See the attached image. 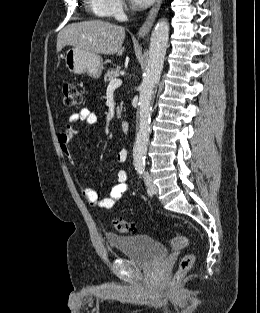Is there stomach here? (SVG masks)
<instances>
[{"mask_svg": "<svg viewBox=\"0 0 260 313\" xmlns=\"http://www.w3.org/2000/svg\"><path fill=\"white\" fill-rule=\"evenodd\" d=\"M64 59L67 69L72 73H87L88 76L94 79L101 76L103 62L97 53L74 47L67 50Z\"/></svg>", "mask_w": 260, "mask_h": 313, "instance_id": "0dacf381", "label": "stomach"}]
</instances>
